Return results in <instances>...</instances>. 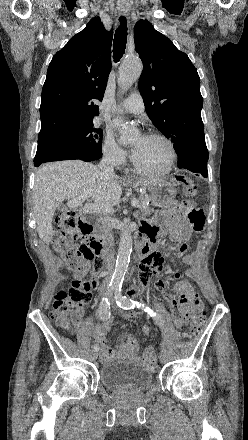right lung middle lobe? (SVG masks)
Listing matches in <instances>:
<instances>
[{
  "label": "right lung middle lobe",
  "mask_w": 248,
  "mask_h": 440,
  "mask_svg": "<svg viewBox=\"0 0 248 440\" xmlns=\"http://www.w3.org/2000/svg\"><path fill=\"white\" fill-rule=\"evenodd\" d=\"M101 129L93 122L39 134L34 163L68 160L77 157H102Z\"/></svg>",
  "instance_id": "right-lung-middle-lobe-1"
}]
</instances>
